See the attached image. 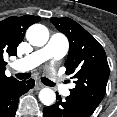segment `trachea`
<instances>
[{
  "instance_id": "trachea-1",
  "label": "trachea",
  "mask_w": 117,
  "mask_h": 117,
  "mask_svg": "<svg viewBox=\"0 0 117 117\" xmlns=\"http://www.w3.org/2000/svg\"><path fill=\"white\" fill-rule=\"evenodd\" d=\"M15 76L20 80H25V79L30 78L31 73H28V72L27 73H18ZM42 81L48 86H52V87L55 86V84L52 81H50L46 78H42Z\"/></svg>"
}]
</instances>
